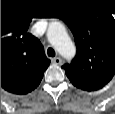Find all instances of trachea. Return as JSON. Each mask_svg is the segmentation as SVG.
Listing matches in <instances>:
<instances>
[{
	"label": "trachea",
	"instance_id": "obj_1",
	"mask_svg": "<svg viewBox=\"0 0 115 114\" xmlns=\"http://www.w3.org/2000/svg\"><path fill=\"white\" fill-rule=\"evenodd\" d=\"M47 54L50 57H54L55 56V51L52 48H48Z\"/></svg>",
	"mask_w": 115,
	"mask_h": 114
}]
</instances>
